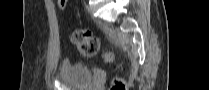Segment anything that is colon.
Listing matches in <instances>:
<instances>
[{"mask_svg":"<svg viewBox=\"0 0 209 90\" xmlns=\"http://www.w3.org/2000/svg\"><path fill=\"white\" fill-rule=\"evenodd\" d=\"M66 3V0L59 1L60 8L64 9ZM71 39L83 56L92 57L100 52V41L91 30H77L73 33ZM103 58L107 62H112L114 60V55L111 52H103ZM112 90H124L123 82L116 80L112 86Z\"/></svg>","mask_w":209,"mask_h":90,"instance_id":"obj_1","label":"colon"}]
</instances>
